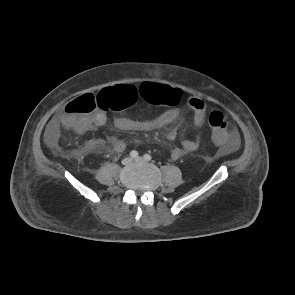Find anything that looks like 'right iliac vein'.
I'll list each match as a JSON object with an SVG mask.
<instances>
[{
	"instance_id": "right-iliac-vein-1",
	"label": "right iliac vein",
	"mask_w": 295,
	"mask_h": 295,
	"mask_svg": "<svg viewBox=\"0 0 295 295\" xmlns=\"http://www.w3.org/2000/svg\"><path fill=\"white\" fill-rule=\"evenodd\" d=\"M132 162V159L130 157H126L122 160L123 165H129Z\"/></svg>"
}]
</instances>
